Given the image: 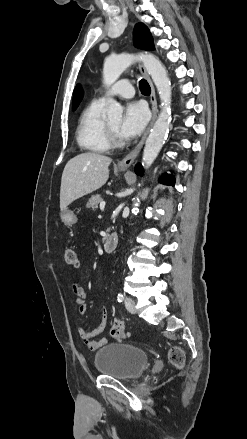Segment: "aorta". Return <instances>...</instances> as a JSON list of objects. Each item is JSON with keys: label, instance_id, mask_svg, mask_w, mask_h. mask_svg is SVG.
Returning a JSON list of instances; mask_svg holds the SVG:
<instances>
[{"label": "aorta", "instance_id": "obj_1", "mask_svg": "<svg viewBox=\"0 0 247 439\" xmlns=\"http://www.w3.org/2000/svg\"><path fill=\"white\" fill-rule=\"evenodd\" d=\"M142 61L148 74L151 76L160 100L161 111L158 118L146 140L142 164L148 169L158 156L168 135L171 121V82L168 78L167 71L159 59L151 54H126L122 53L116 56L106 58L103 66V82L106 87H110L123 73V71L136 61ZM109 107L107 110L108 118H120L123 108L114 99L108 100ZM139 199L132 208V213L138 210Z\"/></svg>", "mask_w": 247, "mask_h": 439}]
</instances>
